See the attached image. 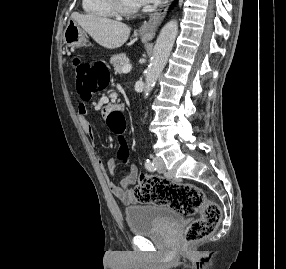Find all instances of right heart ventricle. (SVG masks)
Segmentation results:
<instances>
[{
	"mask_svg": "<svg viewBox=\"0 0 286 269\" xmlns=\"http://www.w3.org/2000/svg\"><path fill=\"white\" fill-rule=\"evenodd\" d=\"M82 8L86 14L95 18L107 19L116 15L107 0H82Z\"/></svg>",
	"mask_w": 286,
	"mask_h": 269,
	"instance_id": "e07e8e85",
	"label": "right heart ventricle"
}]
</instances>
